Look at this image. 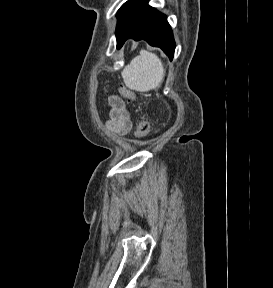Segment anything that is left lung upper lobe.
<instances>
[{
	"mask_svg": "<svg viewBox=\"0 0 273 288\" xmlns=\"http://www.w3.org/2000/svg\"><path fill=\"white\" fill-rule=\"evenodd\" d=\"M131 0H128L126 3H124L121 8L118 10V14H117V18H118V21L120 20L123 12L125 11L126 7L128 6V4L130 3Z\"/></svg>",
	"mask_w": 273,
	"mask_h": 288,
	"instance_id": "5c2ea615",
	"label": "left lung upper lobe"
}]
</instances>
